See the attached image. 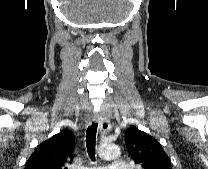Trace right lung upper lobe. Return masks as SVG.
Returning a JSON list of instances; mask_svg holds the SVG:
<instances>
[{
  "mask_svg": "<svg viewBox=\"0 0 208 169\" xmlns=\"http://www.w3.org/2000/svg\"><path fill=\"white\" fill-rule=\"evenodd\" d=\"M74 135L62 130L37 146L25 169H67L74 158Z\"/></svg>",
  "mask_w": 208,
  "mask_h": 169,
  "instance_id": "right-lung-upper-lobe-1",
  "label": "right lung upper lobe"
}]
</instances>
